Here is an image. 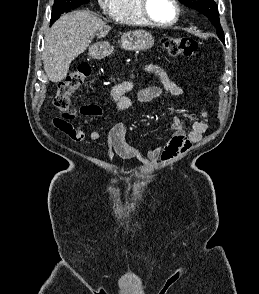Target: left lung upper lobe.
<instances>
[{"instance_id": "1", "label": "left lung upper lobe", "mask_w": 259, "mask_h": 294, "mask_svg": "<svg viewBox=\"0 0 259 294\" xmlns=\"http://www.w3.org/2000/svg\"><path fill=\"white\" fill-rule=\"evenodd\" d=\"M187 7L204 14L217 29V35L224 43V34L219 21L218 6L214 0H179Z\"/></svg>"}]
</instances>
